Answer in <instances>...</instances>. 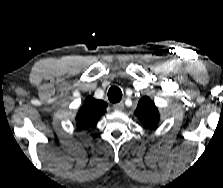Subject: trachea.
<instances>
[{"mask_svg": "<svg viewBox=\"0 0 223 188\" xmlns=\"http://www.w3.org/2000/svg\"><path fill=\"white\" fill-rule=\"evenodd\" d=\"M108 99L112 103H118L122 99V91L117 86H112L108 91Z\"/></svg>", "mask_w": 223, "mask_h": 188, "instance_id": "trachea-1", "label": "trachea"}]
</instances>
